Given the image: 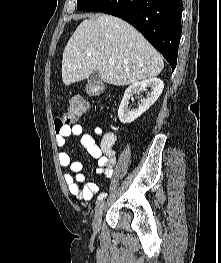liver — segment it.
<instances>
[{"mask_svg": "<svg viewBox=\"0 0 221 263\" xmlns=\"http://www.w3.org/2000/svg\"><path fill=\"white\" fill-rule=\"evenodd\" d=\"M163 67L161 55L134 27L101 14L80 23L69 39L63 52L62 79L70 85L97 70L105 83L124 86L153 78Z\"/></svg>", "mask_w": 221, "mask_h": 263, "instance_id": "6515ba94", "label": "liver"}]
</instances>
